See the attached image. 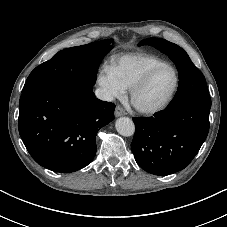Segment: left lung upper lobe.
I'll use <instances>...</instances> for the list:
<instances>
[{
    "label": "left lung upper lobe",
    "mask_w": 227,
    "mask_h": 227,
    "mask_svg": "<svg viewBox=\"0 0 227 227\" xmlns=\"http://www.w3.org/2000/svg\"><path fill=\"white\" fill-rule=\"evenodd\" d=\"M139 45H151L167 54L176 63L179 71L178 90L168 108L184 105L211 108V99L205 78L182 48L160 38L144 39Z\"/></svg>",
    "instance_id": "left-lung-upper-lobe-1"
}]
</instances>
